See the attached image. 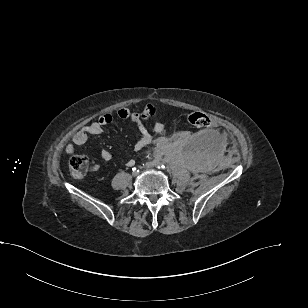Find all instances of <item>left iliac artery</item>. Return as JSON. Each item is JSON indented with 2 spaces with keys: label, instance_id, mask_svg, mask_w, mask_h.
<instances>
[{
  "label": "left iliac artery",
  "instance_id": "obj_1",
  "mask_svg": "<svg viewBox=\"0 0 308 308\" xmlns=\"http://www.w3.org/2000/svg\"><path fill=\"white\" fill-rule=\"evenodd\" d=\"M157 167L159 168V169H164L165 168V166L163 165V164H157Z\"/></svg>",
  "mask_w": 308,
  "mask_h": 308
}]
</instances>
